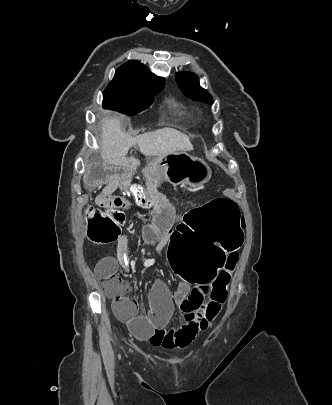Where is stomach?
I'll return each mask as SVG.
<instances>
[{
  "mask_svg": "<svg viewBox=\"0 0 332 405\" xmlns=\"http://www.w3.org/2000/svg\"><path fill=\"white\" fill-rule=\"evenodd\" d=\"M160 169L165 179L173 185L201 187L212 175L210 167L201 159L177 151L160 156Z\"/></svg>",
  "mask_w": 332,
  "mask_h": 405,
  "instance_id": "0dacf381",
  "label": "stomach"
}]
</instances>
